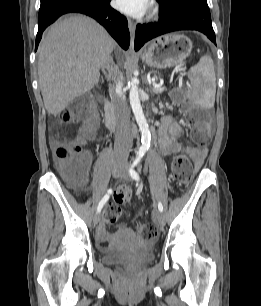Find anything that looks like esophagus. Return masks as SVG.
<instances>
[{"instance_id":"34e87169","label":"esophagus","mask_w":261,"mask_h":306,"mask_svg":"<svg viewBox=\"0 0 261 306\" xmlns=\"http://www.w3.org/2000/svg\"><path fill=\"white\" fill-rule=\"evenodd\" d=\"M128 26H129V31H130V35H131V46L133 47L136 24L132 19H128Z\"/></svg>"}]
</instances>
